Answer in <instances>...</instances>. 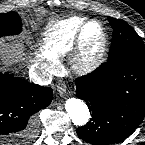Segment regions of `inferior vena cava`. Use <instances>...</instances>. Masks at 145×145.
<instances>
[{
	"instance_id": "1",
	"label": "inferior vena cava",
	"mask_w": 145,
	"mask_h": 145,
	"mask_svg": "<svg viewBox=\"0 0 145 145\" xmlns=\"http://www.w3.org/2000/svg\"><path fill=\"white\" fill-rule=\"evenodd\" d=\"M32 81L36 84H39V85H46L47 84V78H45V76L41 73L37 76L33 75Z\"/></svg>"
}]
</instances>
